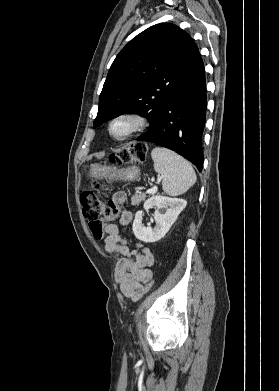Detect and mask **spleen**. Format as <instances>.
Segmentation results:
<instances>
[{"instance_id":"1","label":"spleen","mask_w":279,"mask_h":391,"mask_svg":"<svg viewBox=\"0 0 279 391\" xmlns=\"http://www.w3.org/2000/svg\"><path fill=\"white\" fill-rule=\"evenodd\" d=\"M151 156L154 170L163 177L162 188L166 194L181 195L195 184V171L182 156L164 147H155Z\"/></svg>"}]
</instances>
